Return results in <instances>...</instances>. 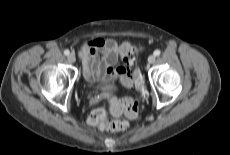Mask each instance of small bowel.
<instances>
[{
	"label": "small bowel",
	"mask_w": 230,
	"mask_h": 155,
	"mask_svg": "<svg viewBox=\"0 0 230 155\" xmlns=\"http://www.w3.org/2000/svg\"><path fill=\"white\" fill-rule=\"evenodd\" d=\"M127 43L118 44L113 39L93 38L86 41L79 51L83 64V75L90 82L114 83L120 81L129 87L132 80L125 74L127 66L125 47ZM119 61L123 65L118 66Z\"/></svg>",
	"instance_id": "small-bowel-1"
}]
</instances>
